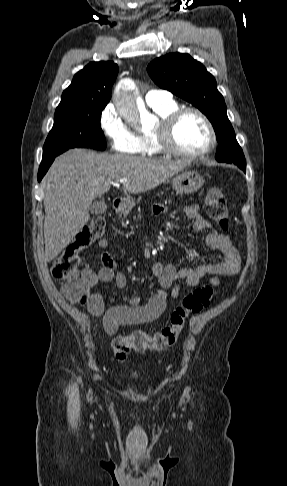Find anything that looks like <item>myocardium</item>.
<instances>
[{"label": "myocardium", "instance_id": "obj_1", "mask_svg": "<svg viewBox=\"0 0 287 486\" xmlns=\"http://www.w3.org/2000/svg\"><path fill=\"white\" fill-rule=\"evenodd\" d=\"M189 113L197 115L203 121L209 134L208 145L204 149L195 152H187L179 149L173 140L174 130L178 121ZM154 134L162 151L176 157L189 159L199 158L211 153L217 145V135L212 122L203 111L196 107L177 108L165 118L161 119Z\"/></svg>", "mask_w": 287, "mask_h": 486}]
</instances>
